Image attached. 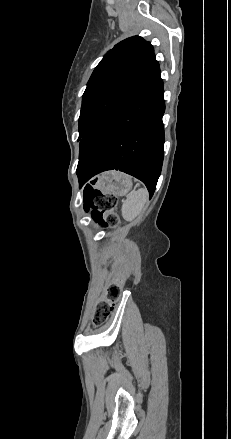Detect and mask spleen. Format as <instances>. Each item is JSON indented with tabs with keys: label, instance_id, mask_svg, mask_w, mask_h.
Listing matches in <instances>:
<instances>
[{
	"label": "spleen",
	"instance_id": "3e777b00",
	"mask_svg": "<svg viewBox=\"0 0 231 439\" xmlns=\"http://www.w3.org/2000/svg\"><path fill=\"white\" fill-rule=\"evenodd\" d=\"M147 199L148 191L145 188L131 192L122 205L123 218L127 221L134 220L142 211Z\"/></svg>",
	"mask_w": 231,
	"mask_h": 439
}]
</instances>
